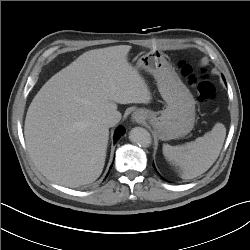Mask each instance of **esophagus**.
I'll use <instances>...</instances> for the list:
<instances>
[{"instance_id":"34e87169","label":"esophagus","mask_w":250,"mask_h":250,"mask_svg":"<svg viewBox=\"0 0 250 250\" xmlns=\"http://www.w3.org/2000/svg\"><path fill=\"white\" fill-rule=\"evenodd\" d=\"M132 119H133V121H135V122H141V121H142V116H141L140 113L134 112V113L132 114Z\"/></svg>"}]
</instances>
